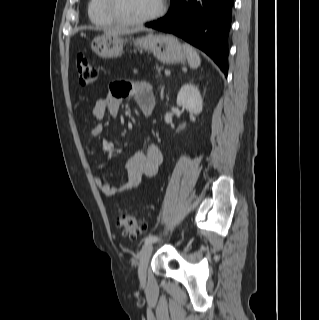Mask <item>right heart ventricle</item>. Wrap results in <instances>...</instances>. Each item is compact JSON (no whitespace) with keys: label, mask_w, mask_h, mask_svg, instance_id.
Instances as JSON below:
<instances>
[{"label":"right heart ventricle","mask_w":319,"mask_h":320,"mask_svg":"<svg viewBox=\"0 0 319 320\" xmlns=\"http://www.w3.org/2000/svg\"><path fill=\"white\" fill-rule=\"evenodd\" d=\"M88 15L90 20L100 27H108L117 24L106 14L104 0H90L88 3Z\"/></svg>","instance_id":"obj_1"}]
</instances>
